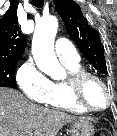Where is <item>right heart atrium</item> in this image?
Wrapping results in <instances>:
<instances>
[{"mask_svg":"<svg viewBox=\"0 0 117 136\" xmlns=\"http://www.w3.org/2000/svg\"><path fill=\"white\" fill-rule=\"evenodd\" d=\"M16 81L27 99L40 104L47 102L52 82L32 60L21 65L16 73Z\"/></svg>","mask_w":117,"mask_h":136,"instance_id":"d8ad5b80","label":"right heart atrium"}]
</instances>
